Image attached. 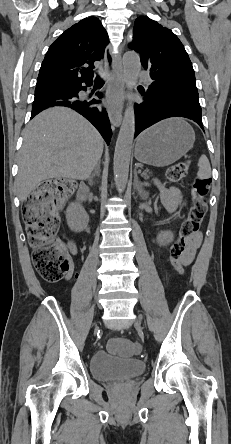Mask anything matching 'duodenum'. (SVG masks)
<instances>
[{
  "mask_svg": "<svg viewBox=\"0 0 231 444\" xmlns=\"http://www.w3.org/2000/svg\"><path fill=\"white\" fill-rule=\"evenodd\" d=\"M88 197L89 188L86 185H82L78 194V203L80 204V206H84L87 203Z\"/></svg>",
  "mask_w": 231,
  "mask_h": 444,
  "instance_id": "410a0bca",
  "label": "duodenum"
}]
</instances>
